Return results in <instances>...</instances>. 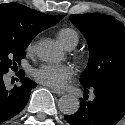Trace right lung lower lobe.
Segmentation results:
<instances>
[{
    "mask_svg": "<svg viewBox=\"0 0 125 125\" xmlns=\"http://www.w3.org/2000/svg\"><path fill=\"white\" fill-rule=\"evenodd\" d=\"M4 73H0V122L6 121L17 115L26 106L30 91L36 87V83L24 78L20 71L17 75L20 78V85L8 90L3 81ZM17 81H19L17 79Z\"/></svg>",
    "mask_w": 125,
    "mask_h": 125,
    "instance_id": "98d812e1",
    "label": "right lung lower lobe"
}]
</instances>
